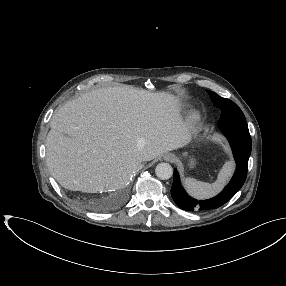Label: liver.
Returning <instances> with one entry per match:
<instances>
[{"mask_svg":"<svg viewBox=\"0 0 286 286\" xmlns=\"http://www.w3.org/2000/svg\"><path fill=\"white\" fill-rule=\"evenodd\" d=\"M179 98L129 86L88 92L59 108L46 139L47 165L64 188L118 190L138 164L186 146L193 124Z\"/></svg>","mask_w":286,"mask_h":286,"instance_id":"1","label":"liver"}]
</instances>
